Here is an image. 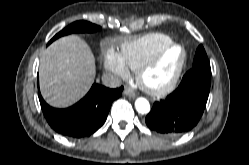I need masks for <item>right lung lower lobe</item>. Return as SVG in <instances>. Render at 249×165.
<instances>
[{
	"label": "right lung lower lobe",
	"instance_id": "right-lung-lower-lobe-1",
	"mask_svg": "<svg viewBox=\"0 0 249 165\" xmlns=\"http://www.w3.org/2000/svg\"><path fill=\"white\" fill-rule=\"evenodd\" d=\"M123 87L109 89L93 84L90 91L79 102L65 109L49 106L38 90L43 114L56 132L72 137L90 136L106 121L112 102L122 95Z\"/></svg>",
	"mask_w": 249,
	"mask_h": 165
}]
</instances>
